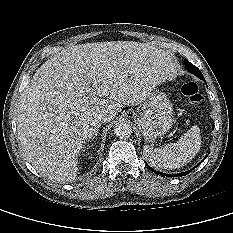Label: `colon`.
Returning <instances> with one entry per match:
<instances>
[{"instance_id": "colon-1", "label": "colon", "mask_w": 233, "mask_h": 233, "mask_svg": "<svg viewBox=\"0 0 233 233\" xmlns=\"http://www.w3.org/2000/svg\"><path fill=\"white\" fill-rule=\"evenodd\" d=\"M181 92L191 105L199 108L202 103V96L198 86L193 82L181 81Z\"/></svg>"}]
</instances>
